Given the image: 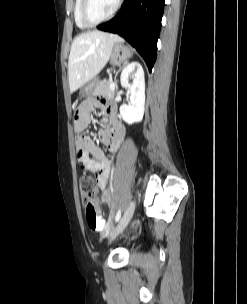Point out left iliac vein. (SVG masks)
Returning <instances> with one entry per match:
<instances>
[{"label": "left iliac vein", "mask_w": 247, "mask_h": 304, "mask_svg": "<svg viewBox=\"0 0 247 304\" xmlns=\"http://www.w3.org/2000/svg\"><path fill=\"white\" fill-rule=\"evenodd\" d=\"M134 209H135V201L132 200L130 202V204L128 205L124 215L122 216L118 226L112 233L110 241L115 239L126 228V226L128 225V223L133 215Z\"/></svg>", "instance_id": "left-iliac-vein-1"}]
</instances>
